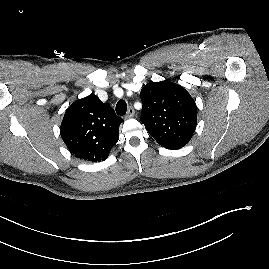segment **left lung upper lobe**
Here are the masks:
<instances>
[{
	"instance_id": "1",
	"label": "left lung upper lobe",
	"mask_w": 269,
	"mask_h": 269,
	"mask_svg": "<svg viewBox=\"0 0 269 269\" xmlns=\"http://www.w3.org/2000/svg\"><path fill=\"white\" fill-rule=\"evenodd\" d=\"M141 121L163 147L178 149L191 139L197 124V106L185 88L168 81L145 85L140 93Z\"/></svg>"
}]
</instances>
